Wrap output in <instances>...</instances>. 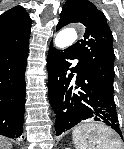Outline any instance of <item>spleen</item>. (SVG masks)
Returning <instances> with one entry per match:
<instances>
[{
    "mask_svg": "<svg viewBox=\"0 0 124 149\" xmlns=\"http://www.w3.org/2000/svg\"><path fill=\"white\" fill-rule=\"evenodd\" d=\"M72 135L77 149H88L91 143L96 145L95 149H119V141L111 135L108 127H100L94 132L90 126L80 125Z\"/></svg>",
    "mask_w": 124,
    "mask_h": 149,
    "instance_id": "3e777b00",
    "label": "spleen"
}]
</instances>
